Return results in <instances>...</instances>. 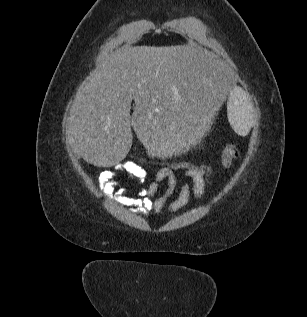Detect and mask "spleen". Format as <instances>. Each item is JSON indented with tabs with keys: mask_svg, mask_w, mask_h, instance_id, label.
Segmentation results:
<instances>
[{
	"mask_svg": "<svg viewBox=\"0 0 307 317\" xmlns=\"http://www.w3.org/2000/svg\"><path fill=\"white\" fill-rule=\"evenodd\" d=\"M228 118L233 130L246 136L252 125V108L248 97L241 89H235L228 99Z\"/></svg>",
	"mask_w": 307,
	"mask_h": 317,
	"instance_id": "1",
	"label": "spleen"
}]
</instances>
